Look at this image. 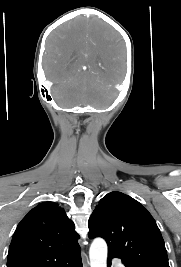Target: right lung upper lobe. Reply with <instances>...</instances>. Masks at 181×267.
<instances>
[{"label": "right lung upper lobe", "mask_w": 181, "mask_h": 267, "mask_svg": "<svg viewBox=\"0 0 181 267\" xmlns=\"http://www.w3.org/2000/svg\"><path fill=\"white\" fill-rule=\"evenodd\" d=\"M78 238L63 208L54 202L40 203L18 224L7 267H47L80 251Z\"/></svg>", "instance_id": "obj_1"}]
</instances>
